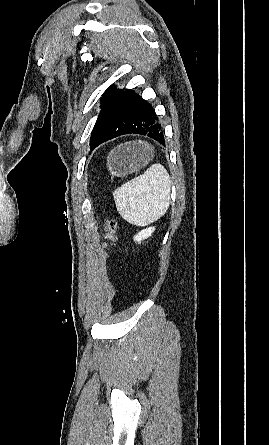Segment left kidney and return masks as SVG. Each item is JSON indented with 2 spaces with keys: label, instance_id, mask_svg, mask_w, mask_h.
Here are the masks:
<instances>
[{
  "label": "left kidney",
  "instance_id": "1",
  "mask_svg": "<svg viewBox=\"0 0 269 445\" xmlns=\"http://www.w3.org/2000/svg\"><path fill=\"white\" fill-rule=\"evenodd\" d=\"M154 231V227L146 228L134 236V241L141 242L142 240L147 239L149 236H151Z\"/></svg>",
  "mask_w": 269,
  "mask_h": 445
}]
</instances>
